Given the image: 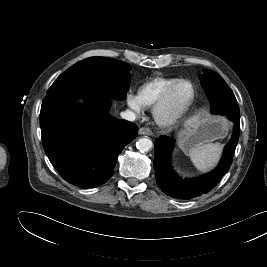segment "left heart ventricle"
<instances>
[{
    "mask_svg": "<svg viewBox=\"0 0 267 267\" xmlns=\"http://www.w3.org/2000/svg\"><path fill=\"white\" fill-rule=\"evenodd\" d=\"M191 95V88L188 84L179 85L173 92L168 104L164 107L162 113L164 116H173L177 114L186 104Z\"/></svg>",
    "mask_w": 267,
    "mask_h": 267,
    "instance_id": "b2bd125f",
    "label": "left heart ventricle"
}]
</instances>
